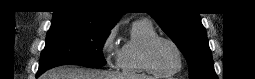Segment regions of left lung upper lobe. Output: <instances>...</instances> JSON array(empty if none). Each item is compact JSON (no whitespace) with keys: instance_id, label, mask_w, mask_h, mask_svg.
Segmentation results:
<instances>
[{"instance_id":"left-lung-upper-lobe-1","label":"left lung upper lobe","mask_w":255,"mask_h":79,"mask_svg":"<svg viewBox=\"0 0 255 79\" xmlns=\"http://www.w3.org/2000/svg\"><path fill=\"white\" fill-rule=\"evenodd\" d=\"M173 1H152L149 14L184 54L191 79H217L207 33L198 13L177 11Z\"/></svg>"}]
</instances>
